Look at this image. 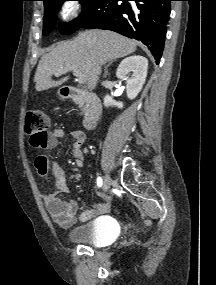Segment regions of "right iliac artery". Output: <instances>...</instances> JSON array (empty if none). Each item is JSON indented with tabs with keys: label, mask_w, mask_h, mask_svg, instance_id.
I'll list each match as a JSON object with an SVG mask.
<instances>
[{
	"label": "right iliac artery",
	"mask_w": 216,
	"mask_h": 285,
	"mask_svg": "<svg viewBox=\"0 0 216 285\" xmlns=\"http://www.w3.org/2000/svg\"><path fill=\"white\" fill-rule=\"evenodd\" d=\"M102 184H103L102 178H101V177H98V178H97V186H98V187H101Z\"/></svg>",
	"instance_id": "right-iliac-artery-1"
}]
</instances>
